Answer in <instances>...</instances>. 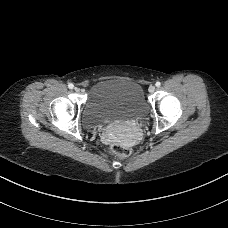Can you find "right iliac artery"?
Here are the masks:
<instances>
[{
	"label": "right iliac artery",
	"instance_id": "right-iliac-artery-1",
	"mask_svg": "<svg viewBox=\"0 0 228 228\" xmlns=\"http://www.w3.org/2000/svg\"><path fill=\"white\" fill-rule=\"evenodd\" d=\"M68 87H69L70 89H73L74 85H73L72 83H69V84H68Z\"/></svg>",
	"mask_w": 228,
	"mask_h": 228
}]
</instances>
